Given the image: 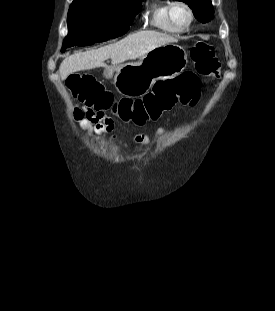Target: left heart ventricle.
Returning <instances> with one entry per match:
<instances>
[{
	"label": "left heart ventricle",
	"mask_w": 275,
	"mask_h": 311,
	"mask_svg": "<svg viewBox=\"0 0 275 311\" xmlns=\"http://www.w3.org/2000/svg\"><path fill=\"white\" fill-rule=\"evenodd\" d=\"M172 19L176 26L183 27L187 24L189 15L187 10L182 6H175L172 10Z\"/></svg>",
	"instance_id": "left-heart-ventricle-1"
}]
</instances>
